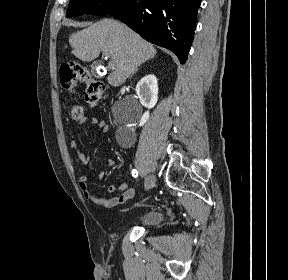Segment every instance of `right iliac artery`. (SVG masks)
<instances>
[{
  "mask_svg": "<svg viewBox=\"0 0 288 280\" xmlns=\"http://www.w3.org/2000/svg\"><path fill=\"white\" fill-rule=\"evenodd\" d=\"M132 176H133V177H137V176H138V172H137L136 169H133V170H132Z\"/></svg>",
  "mask_w": 288,
  "mask_h": 280,
  "instance_id": "right-iliac-artery-1",
  "label": "right iliac artery"
}]
</instances>
